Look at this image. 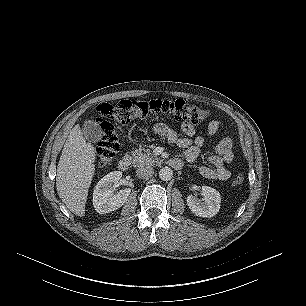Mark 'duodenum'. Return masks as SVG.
Here are the masks:
<instances>
[{
	"mask_svg": "<svg viewBox=\"0 0 306 306\" xmlns=\"http://www.w3.org/2000/svg\"><path fill=\"white\" fill-rule=\"evenodd\" d=\"M130 158L129 156H123L119 161H118V168L122 171H126L130 167ZM169 164L171 167L175 169H180L182 167V163L179 160L172 159L169 161Z\"/></svg>",
	"mask_w": 306,
	"mask_h": 306,
	"instance_id": "410a0bca",
	"label": "duodenum"
}]
</instances>
